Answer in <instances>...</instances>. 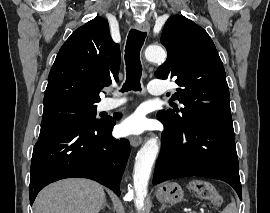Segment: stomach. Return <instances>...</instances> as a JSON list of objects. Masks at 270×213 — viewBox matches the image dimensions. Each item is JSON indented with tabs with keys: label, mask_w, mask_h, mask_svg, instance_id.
Instances as JSON below:
<instances>
[{
	"label": "stomach",
	"mask_w": 270,
	"mask_h": 213,
	"mask_svg": "<svg viewBox=\"0 0 270 213\" xmlns=\"http://www.w3.org/2000/svg\"><path fill=\"white\" fill-rule=\"evenodd\" d=\"M157 198L161 202L175 204L183 199V190L181 186L175 182L166 183L157 190Z\"/></svg>",
	"instance_id": "0dacf381"
}]
</instances>
